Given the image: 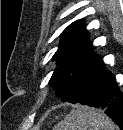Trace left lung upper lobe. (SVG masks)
<instances>
[{"label":"left lung upper lobe","instance_id":"left-lung-upper-lobe-1","mask_svg":"<svg viewBox=\"0 0 123 130\" xmlns=\"http://www.w3.org/2000/svg\"><path fill=\"white\" fill-rule=\"evenodd\" d=\"M84 22L77 20L63 31L53 56L58 66L49 81L56 96L73 104L77 103L90 72L100 60L88 43Z\"/></svg>","mask_w":123,"mask_h":130}]
</instances>
